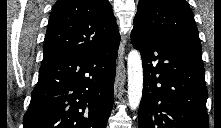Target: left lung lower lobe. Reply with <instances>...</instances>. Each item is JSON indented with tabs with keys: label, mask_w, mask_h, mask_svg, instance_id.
<instances>
[{
	"label": "left lung lower lobe",
	"mask_w": 221,
	"mask_h": 128,
	"mask_svg": "<svg viewBox=\"0 0 221 128\" xmlns=\"http://www.w3.org/2000/svg\"><path fill=\"white\" fill-rule=\"evenodd\" d=\"M131 41L143 63L139 128H208L202 55L133 31Z\"/></svg>",
	"instance_id": "1"
}]
</instances>
